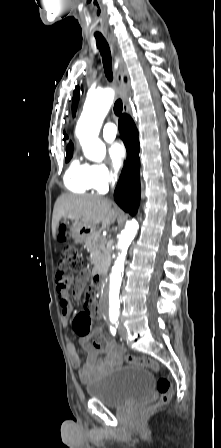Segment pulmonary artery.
Here are the masks:
<instances>
[{
    "mask_svg": "<svg viewBox=\"0 0 221 448\" xmlns=\"http://www.w3.org/2000/svg\"><path fill=\"white\" fill-rule=\"evenodd\" d=\"M102 134L106 141H112L117 136V127L113 123H107L102 130Z\"/></svg>",
    "mask_w": 221,
    "mask_h": 448,
    "instance_id": "obj_1",
    "label": "pulmonary artery"
}]
</instances>
